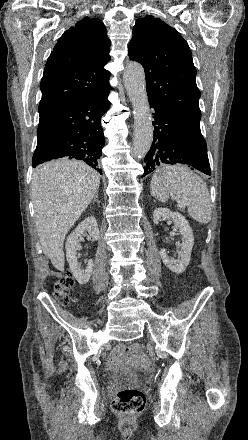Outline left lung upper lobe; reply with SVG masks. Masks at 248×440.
<instances>
[{"instance_id": "obj_1", "label": "left lung upper lobe", "mask_w": 248, "mask_h": 440, "mask_svg": "<svg viewBox=\"0 0 248 440\" xmlns=\"http://www.w3.org/2000/svg\"><path fill=\"white\" fill-rule=\"evenodd\" d=\"M128 55L145 69L149 101L200 129V91L192 54L182 36L159 18L136 21Z\"/></svg>"}]
</instances>
